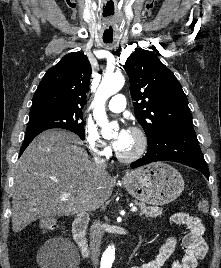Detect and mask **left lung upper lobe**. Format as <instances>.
Here are the masks:
<instances>
[{"instance_id":"5c2ea615","label":"left lung upper lobe","mask_w":221,"mask_h":268,"mask_svg":"<svg viewBox=\"0 0 221 268\" xmlns=\"http://www.w3.org/2000/svg\"><path fill=\"white\" fill-rule=\"evenodd\" d=\"M124 68L130 79L134 113L148 141L175 128H192L188 100L172 71L151 51L137 49Z\"/></svg>"}]
</instances>
